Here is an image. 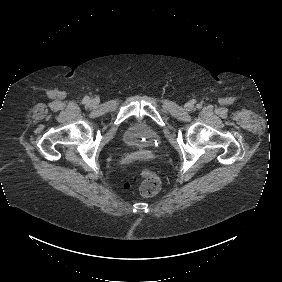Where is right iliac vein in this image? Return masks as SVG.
Here are the masks:
<instances>
[{
    "label": "right iliac vein",
    "mask_w": 282,
    "mask_h": 282,
    "mask_svg": "<svg viewBox=\"0 0 282 282\" xmlns=\"http://www.w3.org/2000/svg\"><path fill=\"white\" fill-rule=\"evenodd\" d=\"M91 104H92V105H95V104H96V102H95V101H91Z\"/></svg>",
    "instance_id": "right-iliac-vein-1"
}]
</instances>
